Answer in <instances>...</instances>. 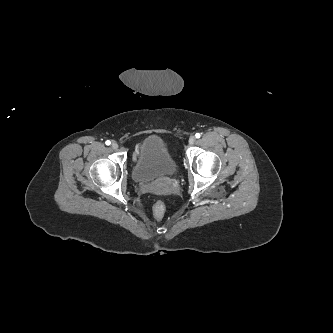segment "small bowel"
<instances>
[{"instance_id":"1","label":"small bowel","mask_w":333,"mask_h":333,"mask_svg":"<svg viewBox=\"0 0 333 333\" xmlns=\"http://www.w3.org/2000/svg\"><path fill=\"white\" fill-rule=\"evenodd\" d=\"M138 155V149L136 150V153L134 154V157L136 158Z\"/></svg>"}]
</instances>
